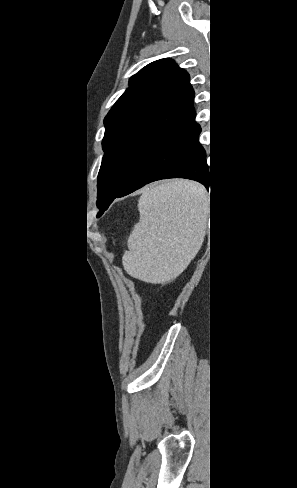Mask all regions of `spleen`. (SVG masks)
<instances>
[{
	"instance_id": "1",
	"label": "spleen",
	"mask_w": 297,
	"mask_h": 488,
	"mask_svg": "<svg viewBox=\"0 0 297 488\" xmlns=\"http://www.w3.org/2000/svg\"><path fill=\"white\" fill-rule=\"evenodd\" d=\"M208 196L199 184L172 180L150 186L140 197V219L122 257L124 270L150 283L178 276L201 246L199 218Z\"/></svg>"
}]
</instances>
